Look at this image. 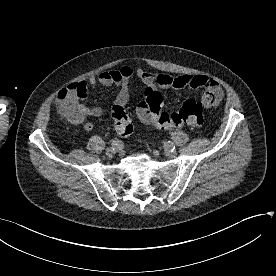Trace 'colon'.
Segmentation results:
<instances>
[{
    "mask_svg": "<svg viewBox=\"0 0 276 276\" xmlns=\"http://www.w3.org/2000/svg\"><path fill=\"white\" fill-rule=\"evenodd\" d=\"M81 94L82 89L76 85H71L60 91L58 100L61 102V114L65 118L74 119L78 116V110L71 104L70 99ZM162 103L161 93L151 86L146 87L138 104V114L160 129H172L181 126L199 128L202 126L205 106L201 101L187 100L178 111L172 113L164 112ZM112 118L114 128L119 136L129 137L132 134L133 125L126 106L113 105Z\"/></svg>",
    "mask_w": 276,
    "mask_h": 276,
    "instance_id": "1",
    "label": "colon"
}]
</instances>
